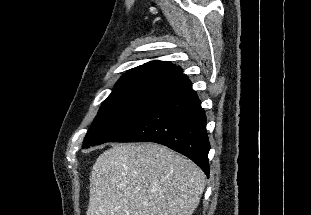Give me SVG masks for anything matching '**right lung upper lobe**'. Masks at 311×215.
Listing matches in <instances>:
<instances>
[{"mask_svg":"<svg viewBox=\"0 0 311 215\" xmlns=\"http://www.w3.org/2000/svg\"><path fill=\"white\" fill-rule=\"evenodd\" d=\"M185 76L179 66L169 61H150L135 67L122 75L115 84L116 88L132 85H171Z\"/></svg>","mask_w":311,"mask_h":215,"instance_id":"right-lung-upper-lobe-1","label":"right lung upper lobe"}]
</instances>
